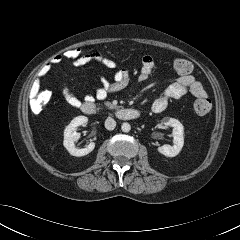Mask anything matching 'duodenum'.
I'll return each mask as SVG.
<instances>
[{"label": "duodenum", "instance_id": "duodenum-1", "mask_svg": "<svg viewBox=\"0 0 240 240\" xmlns=\"http://www.w3.org/2000/svg\"><path fill=\"white\" fill-rule=\"evenodd\" d=\"M81 110L87 115H94L99 112H103L104 109L92 101H87L82 104ZM109 115H112L120 120H134L140 116V112L132 108H116L106 111Z\"/></svg>", "mask_w": 240, "mask_h": 240}]
</instances>
